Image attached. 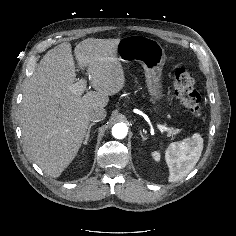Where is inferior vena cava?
Returning a JSON list of instances; mask_svg holds the SVG:
<instances>
[{
	"mask_svg": "<svg viewBox=\"0 0 236 236\" xmlns=\"http://www.w3.org/2000/svg\"><path fill=\"white\" fill-rule=\"evenodd\" d=\"M106 110L102 107H95L87 113V119L92 122H99L105 119Z\"/></svg>",
	"mask_w": 236,
	"mask_h": 236,
	"instance_id": "602c4592",
	"label": "inferior vena cava"
}]
</instances>
